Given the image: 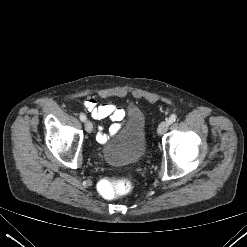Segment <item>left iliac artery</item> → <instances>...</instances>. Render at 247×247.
Returning a JSON list of instances; mask_svg holds the SVG:
<instances>
[{"label": "left iliac artery", "instance_id": "left-iliac-artery-1", "mask_svg": "<svg viewBox=\"0 0 247 247\" xmlns=\"http://www.w3.org/2000/svg\"><path fill=\"white\" fill-rule=\"evenodd\" d=\"M176 118H177L176 114H172L168 119L169 124L175 122Z\"/></svg>", "mask_w": 247, "mask_h": 247}]
</instances>
